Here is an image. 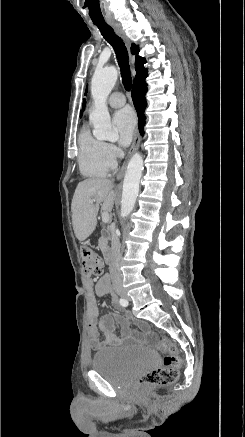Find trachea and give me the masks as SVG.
Returning <instances> with one entry per match:
<instances>
[{
    "mask_svg": "<svg viewBox=\"0 0 245 437\" xmlns=\"http://www.w3.org/2000/svg\"><path fill=\"white\" fill-rule=\"evenodd\" d=\"M103 37L112 45L120 67L122 83L127 91L131 90L132 77L130 73L129 56L124 42L119 38L111 26L104 21H93Z\"/></svg>",
    "mask_w": 245,
    "mask_h": 437,
    "instance_id": "trachea-1",
    "label": "trachea"
}]
</instances>
